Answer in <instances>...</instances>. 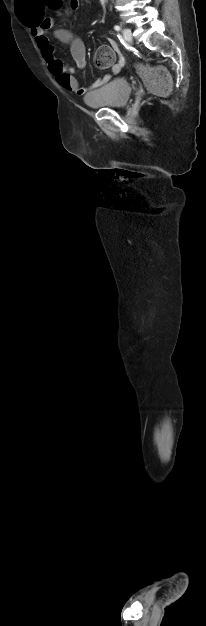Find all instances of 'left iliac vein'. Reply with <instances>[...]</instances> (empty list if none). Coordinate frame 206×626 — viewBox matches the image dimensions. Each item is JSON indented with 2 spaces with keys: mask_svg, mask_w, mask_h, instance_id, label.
<instances>
[{
  "mask_svg": "<svg viewBox=\"0 0 206 626\" xmlns=\"http://www.w3.org/2000/svg\"><path fill=\"white\" fill-rule=\"evenodd\" d=\"M123 37L127 42L131 43L132 42L131 30L128 28L123 29Z\"/></svg>",
  "mask_w": 206,
  "mask_h": 626,
  "instance_id": "left-iliac-vein-1",
  "label": "left iliac vein"
}]
</instances>
